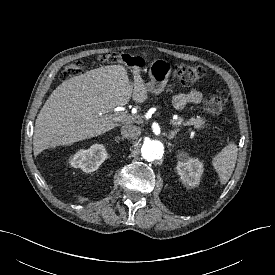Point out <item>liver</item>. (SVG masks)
<instances>
[{"instance_id": "liver-1", "label": "liver", "mask_w": 275, "mask_h": 275, "mask_svg": "<svg viewBox=\"0 0 275 275\" xmlns=\"http://www.w3.org/2000/svg\"><path fill=\"white\" fill-rule=\"evenodd\" d=\"M134 83L122 65L90 70L62 82L40 110L34 129L33 150L69 145L110 131L134 118L114 121L111 112L126 105L131 97L136 103L147 99V88L140 69L134 66Z\"/></svg>"}]
</instances>
